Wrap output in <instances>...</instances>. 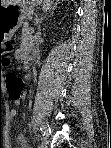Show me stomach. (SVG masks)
Listing matches in <instances>:
<instances>
[{
	"instance_id": "stomach-1",
	"label": "stomach",
	"mask_w": 111,
	"mask_h": 148,
	"mask_svg": "<svg viewBox=\"0 0 111 148\" xmlns=\"http://www.w3.org/2000/svg\"><path fill=\"white\" fill-rule=\"evenodd\" d=\"M35 3H37L36 0H24L18 5L0 6V45L2 47L21 26L25 6Z\"/></svg>"
}]
</instances>
